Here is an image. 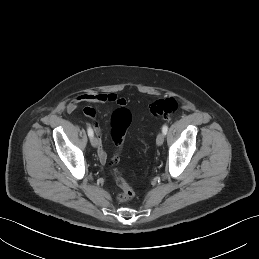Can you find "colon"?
Wrapping results in <instances>:
<instances>
[{
    "instance_id": "1",
    "label": "colon",
    "mask_w": 259,
    "mask_h": 259,
    "mask_svg": "<svg viewBox=\"0 0 259 259\" xmlns=\"http://www.w3.org/2000/svg\"><path fill=\"white\" fill-rule=\"evenodd\" d=\"M178 109V103L174 98H164L154 101L150 105V112L153 116L168 119ZM132 121V114L125 107L117 108L110 117L109 134L117 148V151L111 158L113 176L120 187L117 199L120 202L131 200L134 196V190L125 180L121 172L115 167L120 160V148L123 144L125 134Z\"/></svg>"
}]
</instances>
